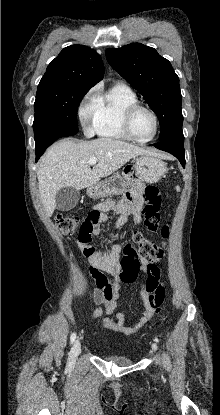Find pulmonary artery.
Here are the masks:
<instances>
[{
    "mask_svg": "<svg viewBox=\"0 0 220 415\" xmlns=\"http://www.w3.org/2000/svg\"><path fill=\"white\" fill-rule=\"evenodd\" d=\"M119 87H123V88H128L127 85L123 84V83H119L118 84Z\"/></svg>",
    "mask_w": 220,
    "mask_h": 415,
    "instance_id": "1",
    "label": "pulmonary artery"
}]
</instances>
